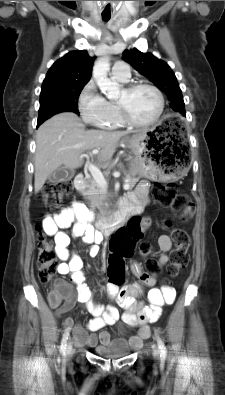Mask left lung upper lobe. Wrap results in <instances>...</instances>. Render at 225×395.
<instances>
[{
    "mask_svg": "<svg viewBox=\"0 0 225 395\" xmlns=\"http://www.w3.org/2000/svg\"><path fill=\"white\" fill-rule=\"evenodd\" d=\"M123 59L166 94L174 111L186 115L179 84L175 74L166 62L156 58L151 53H142L136 48L125 50Z\"/></svg>",
    "mask_w": 225,
    "mask_h": 395,
    "instance_id": "left-lung-upper-lobe-1",
    "label": "left lung upper lobe"
}]
</instances>
